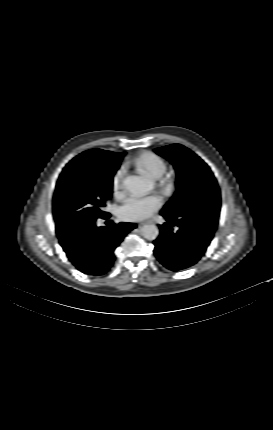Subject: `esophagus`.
Listing matches in <instances>:
<instances>
[{
	"label": "esophagus",
	"instance_id": "1",
	"mask_svg": "<svg viewBox=\"0 0 273 430\" xmlns=\"http://www.w3.org/2000/svg\"><path fill=\"white\" fill-rule=\"evenodd\" d=\"M152 223V221L142 222L141 224Z\"/></svg>",
	"mask_w": 273,
	"mask_h": 430
}]
</instances>
